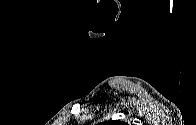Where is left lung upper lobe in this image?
<instances>
[{
	"label": "left lung upper lobe",
	"instance_id": "1",
	"mask_svg": "<svg viewBox=\"0 0 196 125\" xmlns=\"http://www.w3.org/2000/svg\"><path fill=\"white\" fill-rule=\"evenodd\" d=\"M105 125H124L123 122L120 121H106L104 122Z\"/></svg>",
	"mask_w": 196,
	"mask_h": 125
}]
</instances>
